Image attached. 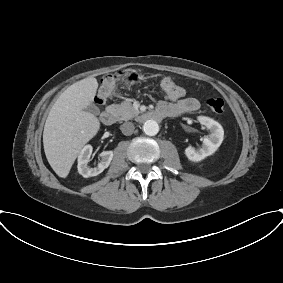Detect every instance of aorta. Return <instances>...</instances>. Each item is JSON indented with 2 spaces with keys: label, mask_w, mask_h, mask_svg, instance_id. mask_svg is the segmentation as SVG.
I'll return each instance as SVG.
<instances>
[{
  "label": "aorta",
  "mask_w": 283,
  "mask_h": 283,
  "mask_svg": "<svg viewBox=\"0 0 283 283\" xmlns=\"http://www.w3.org/2000/svg\"><path fill=\"white\" fill-rule=\"evenodd\" d=\"M143 131L146 135L155 136L159 132V125L154 120H147L143 125Z\"/></svg>",
  "instance_id": "1"
}]
</instances>
